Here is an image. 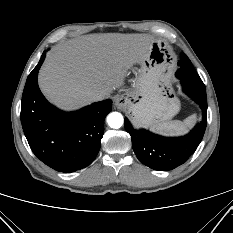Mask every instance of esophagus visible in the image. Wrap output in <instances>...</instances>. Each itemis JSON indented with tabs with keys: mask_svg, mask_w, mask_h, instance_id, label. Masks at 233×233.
I'll use <instances>...</instances> for the list:
<instances>
[{
	"mask_svg": "<svg viewBox=\"0 0 233 233\" xmlns=\"http://www.w3.org/2000/svg\"><path fill=\"white\" fill-rule=\"evenodd\" d=\"M128 104V100L126 97L124 96H119L115 99V105L117 108L119 109H123L127 106Z\"/></svg>",
	"mask_w": 233,
	"mask_h": 233,
	"instance_id": "34e87169",
	"label": "esophagus"
}]
</instances>
